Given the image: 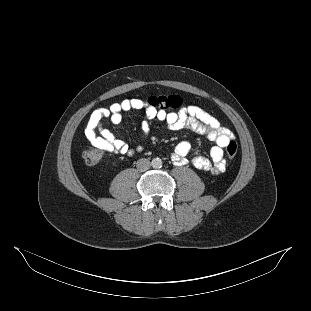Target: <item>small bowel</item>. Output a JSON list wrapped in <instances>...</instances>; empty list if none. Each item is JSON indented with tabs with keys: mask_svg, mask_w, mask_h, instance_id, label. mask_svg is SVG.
<instances>
[{
	"mask_svg": "<svg viewBox=\"0 0 311 311\" xmlns=\"http://www.w3.org/2000/svg\"><path fill=\"white\" fill-rule=\"evenodd\" d=\"M131 110H144L146 120L142 124V131L145 136L150 134L149 121L153 119L164 122L170 131L188 128L205 135L215 143L210 150V157L195 155L191 159L192 164L198 169L213 174L225 171L226 160L223 149L234 138V135L229 129L223 127L214 116L196 105H190L179 112L168 113L152 107L140 99H125L113 103L109 107L96 109L91 113L85 128V136L90 145L111 153L132 154L134 150L125 141L102 126L104 118H109L115 126L120 125L123 113ZM190 150L189 142H180L172 154L173 161L177 164H185Z\"/></svg>",
	"mask_w": 311,
	"mask_h": 311,
	"instance_id": "obj_1",
	"label": "small bowel"
}]
</instances>
